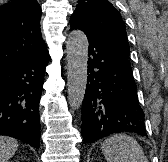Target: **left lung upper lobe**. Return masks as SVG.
Masks as SVG:
<instances>
[{
  "instance_id": "left-lung-upper-lobe-1",
  "label": "left lung upper lobe",
  "mask_w": 168,
  "mask_h": 162,
  "mask_svg": "<svg viewBox=\"0 0 168 162\" xmlns=\"http://www.w3.org/2000/svg\"><path fill=\"white\" fill-rule=\"evenodd\" d=\"M71 26L83 25L90 34L129 54L126 29L119 11L108 0H78Z\"/></svg>"
}]
</instances>
